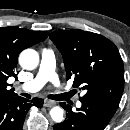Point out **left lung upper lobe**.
Here are the masks:
<instances>
[{"mask_svg":"<svg viewBox=\"0 0 130 130\" xmlns=\"http://www.w3.org/2000/svg\"><path fill=\"white\" fill-rule=\"evenodd\" d=\"M50 39L61 52L67 80L84 91L81 99L101 101L117 110L124 90V66L117 47L102 35L56 30Z\"/></svg>","mask_w":130,"mask_h":130,"instance_id":"1","label":"left lung upper lobe"}]
</instances>
